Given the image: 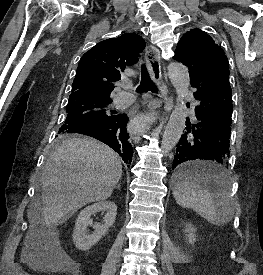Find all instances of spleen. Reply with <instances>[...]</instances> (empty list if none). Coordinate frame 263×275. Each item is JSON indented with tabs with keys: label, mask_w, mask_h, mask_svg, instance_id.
Segmentation results:
<instances>
[{
	"label": "spleen",
	"mask_w": 263,
	"mask_h": 275,
	"mask_svg": "<svg viewBox=\"0 0 263 275\" xmlns=\"http://www.w3.org/2000/svg\"><path fill=\"white\" fill-rule=\"evenodd\" d=\"M196 166L220 172L224 180L219 190L212 194L193 181H178L173 188V196L178 205L191 208L202 218L213 225L221 226L228 223L233 216L230 197V179L227 170L212 162H198Z\"/></svg>",
	"instance_id": "1"
}]
</instances>
